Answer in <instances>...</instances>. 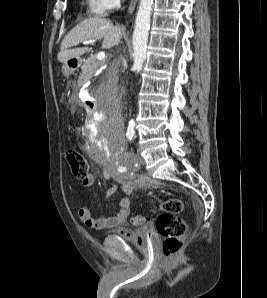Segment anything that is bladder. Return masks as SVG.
Wrapping results in <instances>:
<instances>
[{"label": "bladder", "mask_w": 267, "mask_h": 298, "mask_svg": "<svg viewBox=\"0 0 267 298\" xmlns=\"http://www.w3.org/2000/svg\"><path fill=\"white\" fill-rule=\"evenodd\" d=\"M118 236L142 250L150 249L156 242V235L150 225L133 230L129 235Z\"/></svg>", "instance_id": "obj_1"}]
</instances>
